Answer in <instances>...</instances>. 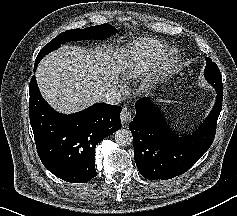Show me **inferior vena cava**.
I'll return each mask as SVG.
<instances>
[{"mask_svg": "<svg viewBox=\"0 0 237 216\" xmlns=\"http://www.w3.org/2000/svg\"><path fill=\"white\" fill-rule=\"evenodd\" d=\"M122 101L121 93L116 87H108L105 91L100 92L99 102L118 105Z\"/></svg>", "mask_w": 237, "mask_h": 216, "instance_id": "obj_1", "label": "inferior vena cava"}]
</instances>
